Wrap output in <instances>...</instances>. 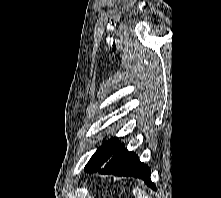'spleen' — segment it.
Returning <instances> with one entry per match:
<instances>
[{
	"label": "spleen",
	"instance_id": "spleen-1",
	"mask_svg": "<svg viewBox=\"0 0 221 198\" xmlns=\"http://www.w3.org/2000/svg\"><path fill=\"white\" fill-rule=\"evenodd\" d=\"M132 192L135 198H149L146 192L138 187L133 188Z\"/></svg>",
	"mask_w": 221,
	"mask_h": 198
}]
</instances>
